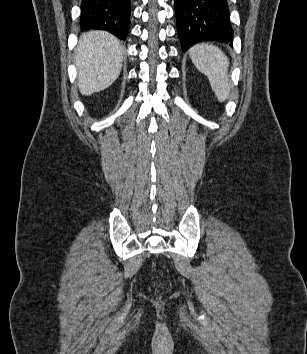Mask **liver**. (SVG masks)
I'll use <instances>...</instances> for the list:
<instances>
[{
	"instance_id": "obj_1",
	"label": "liver",
	"mask_w": 307,
	"mask_h": 354,
	"mask_svg": "<svg viewBox=\"0 0 307 354\" xmlns=\"http://www.w3.org/2000/svg\"><path fill=\"white\" fill-rule=\"evenodd\" d=\"M124 54V46L106 31L83 34L74 60L80 93L89 96L108 88L121 72Z\"/></svg>"
}]
</instances>
